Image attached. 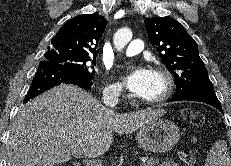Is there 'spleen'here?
Wrapping results in <instances>:
<instances>
[{"label": "spleen", "mask_w": 231, "mask_h": 166, "mask_svg": "<svg viewBox=\"0 0 231 166\" xmlns=\"http://www.w3.org/2000/svg\"><path fill=\"white\" fill-rule=\"evenodd\" d=\"M205 166H231L227 143L224 140L214 143L205 160Z\"/></svg>", "instance_id": "3e777b00"}]
</instances>
